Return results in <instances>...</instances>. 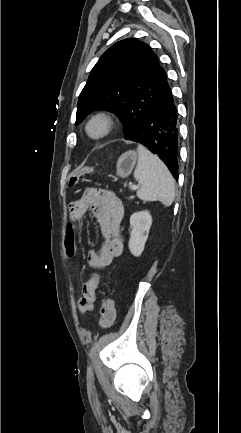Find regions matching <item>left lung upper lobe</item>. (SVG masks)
Returning a JSON list of instances; mask_svg holds the SVG:
<instances>
[{
	"mask_svg": "<svg viewBox=\"0 0 241 433\" xmlns=\"http://www.w3.org/2000/svg\"><path fill=\"white\" fill-rule=\"evenodd\" d=\"M167 87L158 56L144 42L125 39L111 46L93 67L77 105L76 124L91 111H117L132 133L157 104Z\"/></svg>",
	"mask_w": 241,
	"mask_h": 433,
	"instance_id": "left-lung-upper-lobe-1",
	"label": "left lung upper lobe"
}]
</instances>
